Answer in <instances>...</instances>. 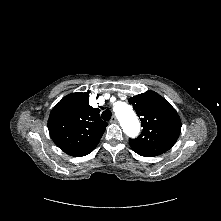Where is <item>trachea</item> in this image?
I'll return each instance as SVG.
<instances>
[{"label":"trachea","mask_w":221,"mask_h":221,"mask_svg":"<svg viewBox=\"0 0 221 221\" xmlns=\"http://www.w3.org/2000/svg\"><path fill=\"white\" fill-rule=\"evenodd\" d=\"M102 119L105 121H109L111 119L112 113L109 109H106L105 111L102 112Z\"/></svg>","instance_id":"obj_1"}]
</instances>
